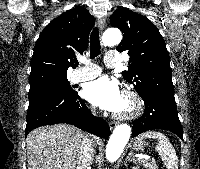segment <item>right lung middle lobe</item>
<instances>
[{"label": "right lung middle lobe", "mask_w": 200, "mask_h": 169, "mask_svg": "<svg viewBox=\"0 0 200 169\" xmlns=\"http://www.w3.org/2000/svg\"><path fill=\"white\" fill-rule=\"evenodd\" d=\"M70 94L75 92L69 84L67 78L65 79H48L37 84L31 85L29 90V100L35 97L49 96L54 93Z\"/></svg>", "instance_id": "right-lung-middle-lobe-1"}]
</instances>
